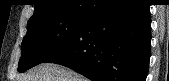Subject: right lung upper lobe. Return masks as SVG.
I'll use <instances>...</instances> for the list:
<instances>
[{
	"mask_svg": "<svg viewBox=\"0 0 169 81\" xmlns=\"http://www.w3.org/2000/svg\"><path fill=\"white\" fill-rule=\"evenodd\" d=\"M114 0H36L29 22L49 16L91 17ZM28 22V23H29Z\"/></svg>",
	"mask_w": 169,
	"mask_h": 81,
	"instance_id": "right-lung-upper-lobe-1",
	"label": "right lung upper lobe"
}]
</instances>
